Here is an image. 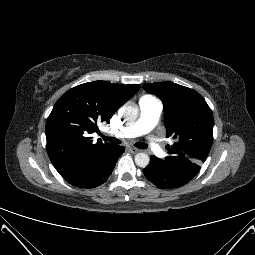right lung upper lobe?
<instances>
[{"label":"right lung upper lobe","mask_w":255,"mask_h":255,"mask_svg":"<svg viewBox=\"0 0 255 255\" xmlns=\"http://www.w3.org/2000/svg\"><path fill=\"white\" fill-rule=\"evenodd\" d=\"M139 88L138 84L94 81L78 85L60 97L47 119L46 139L49 158L62 176L114 146L100 139L93 142L90 134L98 130V122H109Z\"/></svg>","instance_id":"obj_1"}]
</instances>
